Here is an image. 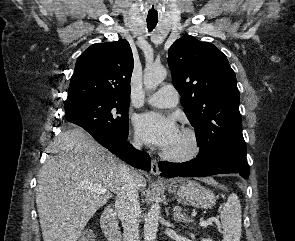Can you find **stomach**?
Here are the masks:
<instances>
[{
	"instance_id": "stomach-1",
	"label": "stomach",
	"mask_w": 295,
	"mask_h": 241,
	"mask_svg": "<svg viewBox=\"0 0 295 241\" xmlns=\"http://www.w3.org/2000/svg\"><path fill=\"white\" fill-rule=\"evenodd\" d=\"M168 191L174 194L180 203L197 208H211L216 202L215 196L210 190L193 180L172 181L168 186Z\"/></svg>"
}]
</instances>
